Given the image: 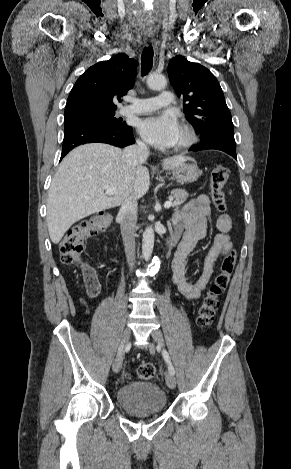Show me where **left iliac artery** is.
<instances>
[{
  "instance_id": "1",
  "label": "left iliac artery",
  "mask_w": 291,
  "mask_h": 469,
  "mask_svg": "<svg viewBox=\"0 0 291 469\" xmlns=\"http://www.w3.org/2000/svg\"><path fill=\"white\" fill-rule=\"evenodd\" d=\"M163 357H164V360L166 361L167 365H168V370L171 374H175V369L171 363V360H170V356L168 354V352L166 350H163Z\"/></svg>"
}]
</instances>
